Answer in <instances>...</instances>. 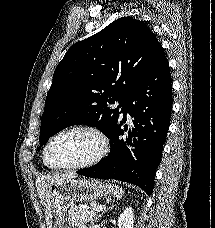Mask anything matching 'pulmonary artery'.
<instances>
[{"label":"pulmonary artery","mask_w":215,"mask_h":228,"mask_svg":"<svg viewBox=\"0 0 215 228\" xmlns=\"http://www.w3.org/2000/svg\"><path fill=\"white\" fill-rule=\"evenodd\" d=\"M119 103H116V106H118ZM124 109H127V106H124ZM120 110H122V108H120Z\"/></svg>","instance_id":"pulmonary-artery-1"}]
</instances>
